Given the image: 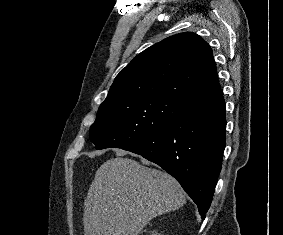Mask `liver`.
<instances>
[{"instance_id": "obj_1", "label": "liver", "mask_w": 283, "mask_h": 235, "mask_svg": "<svg viewBox=\"0 0 283 235\" xmlns=\"http://www.w3.org/2000/svg\"><path fill=\"white\" fill-rule=\"evenodd\" d=\"M125 154L118 151L95 174L84 203L85 235H138L154 217L185 204L172 176Z\"/></svg>"}]
</instances>
